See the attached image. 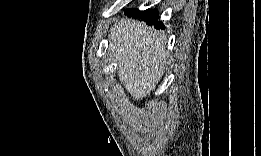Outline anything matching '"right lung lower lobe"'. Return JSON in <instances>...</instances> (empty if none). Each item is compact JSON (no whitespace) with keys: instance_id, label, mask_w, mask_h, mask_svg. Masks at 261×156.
Masks as SVG:
<instances>
[{"instance_id":"obj_1","label":"right lung lower lobe","mask_w":261,"mask_h":156,"mask_svg":"<svg viewBox=\"0 0 261 156\" xmlns=\"http://www.w3.org/2000/svg\"><path fill=\"white\" fill-rule=\"evenodd\" d=\"M126 15H132L134 17L140 18L148 24L154 25L157 28L165 29V26L161 21L158 20L159 14L154 10H146V11H125Z\"/></svg>"}]
</instances>
